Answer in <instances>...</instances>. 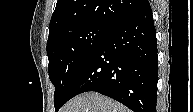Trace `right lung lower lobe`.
<instances>
[{
	"instance_id": "right-lung-lower-lobe-1",
	"label": "right lung lower lobe",
	"mask_w": 193,
	"mask_h": 112,
	"mask_svg": "<svg viewBox=\"0 0 193 112\" xmlns=\"http://www.w3.org/2000/svg\"><path fill=\"white\" fill-rule=\"evenodd\" d=\"M157 39L149 2L110 28L79 69L66 102L87 91L99 92L134 112H155Z\"/></svg>"
}]
</instances>
